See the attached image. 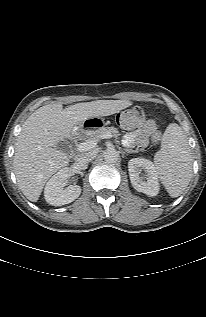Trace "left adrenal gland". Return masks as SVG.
<instances>
[{
  "label": "left adrenal gland",
  "instance_id": "a2214340",
  "mask_svg": "<svg viewBox=\"0 0 206 317\" xmlns=\"http://www.w3.org/2000/svg\"><path fill=\"white\" fill-rule=\"evenodd\" d=\"M138 152L137 150H132V149H124L123 153H136Z\"/></svg>",
  "mask_w": 206,
  "mask_h": 317
}]
</instances>
